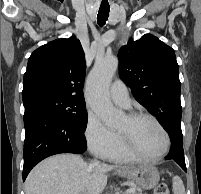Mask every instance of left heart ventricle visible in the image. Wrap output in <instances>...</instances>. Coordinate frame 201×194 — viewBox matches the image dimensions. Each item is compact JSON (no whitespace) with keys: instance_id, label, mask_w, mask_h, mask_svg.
<instances>
[{"instance_id":"b2bd125f","label":"left heart ventricle","mask_w":201,"mask_h":194,"mask_svg":"<svg viewBox=\"0 0 201 194\" xmlns=\"http://www.w3.org/2000/svg\"><path fill=\"white\" fill-rule=\"evenodd\" d=\"M118 130L126 133L134 148L144 155H158L165 147L163 133L149 119L130 121L125 117Z\"/></svg>"}]
</instances>
